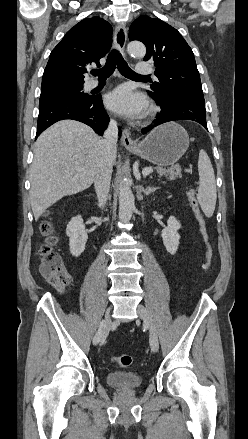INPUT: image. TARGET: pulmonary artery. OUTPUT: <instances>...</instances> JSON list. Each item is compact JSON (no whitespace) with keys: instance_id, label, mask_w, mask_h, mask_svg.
Listing matches in <instances>:
<instances>
[{"instance_id":"e3ab8cb5","label":"pulmonary artery","mask_w":248,"mask_h":439,"mask_svg":"<svg viewBox=\"0 0 248 439\" xmlns=\"http://www.w3.org/2000/svg\"><path fill=\"white\" fill-rule=\"evenodd\" d=\"M152 67L148 62H138L137 64V68H136V73L138 75H142V76H149L150 74H152ZM98 86V83L96 81H90L88 84L89 89H94Z\"/></svg>"}]
</instances>
